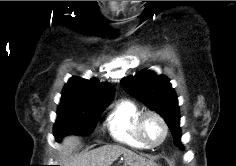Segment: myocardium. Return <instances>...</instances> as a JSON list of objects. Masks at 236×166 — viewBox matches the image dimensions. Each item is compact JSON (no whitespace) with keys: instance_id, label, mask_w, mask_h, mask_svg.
<instances>
[{"instance_id":"1","label":"myocardium","mask_w":236,"mask_h":166,"mask_svg":"<svg viewBox=\"0 0 236 166\" xmlns=\"http://www.w3.org/2000/svg\"><path fill=\"white\" fill-rule=\"evenodd\" d=\"M148 116L155 117L161 123V125L163 127V137L161 138V140L159 142H157L155 144L148 142L143 134V123ZM136 133H137L138 138L144 144L145 147L156 148V147L160 146L161 144H163L164 141L167 139L168 133H169V127H168L166 120L159 112H157L155 110H145V111H142V113L139 115V117L136 121Z\"/></svg>"}]
</instances>
